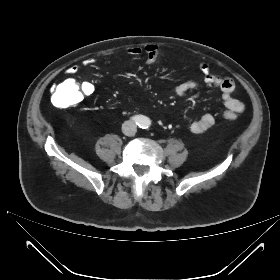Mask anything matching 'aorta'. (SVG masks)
Returning <instances> with one entry per match:
<instances>
[{
  "instance_id": "aorta-1",
  "label": "aorta",
  "mask_w": 280,
  "mask_h": 280,
  "mask_svg": "<svg viewBox=\"0 0 280 280\" xmlns=\"http://www.w3.org/2000/svg\"><path fill=\"white\" fill-rule=\"evenodd\" d=\"M141 126L147 127L150 125V119L147 117H143L142 121L140 122Z\"/></svg>"
}]
</instances>
